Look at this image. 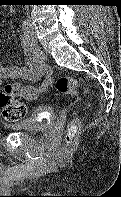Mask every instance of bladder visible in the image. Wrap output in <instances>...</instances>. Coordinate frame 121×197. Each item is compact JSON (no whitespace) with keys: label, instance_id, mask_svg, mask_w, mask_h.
<instances>
[{"label":"bladder","instance_id":"1","mask_svg":"<svg viewBox=\"0 0 121 197\" xmlns=\"http://www.w3.org/2000/svg\"><path fill=\"white\" fill-rule=\"evenodd\" d=\"M55 111L49 107H39L30 117L8 125V128L19 132H36L47 127L55 119Z\"/></svg>","mask_w":121,"mask_h":197}]
</instances>
